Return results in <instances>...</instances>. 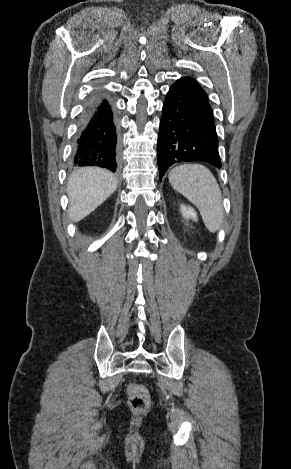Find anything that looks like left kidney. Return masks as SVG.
Instances as JSON below:
<instances>
[{
    "instance_id": "1",
    "label": "left kidney",
    "mask_w": 291,
    "mask_h": 469,
    "mask_svg": "<svg viewBox=\"0 0 291 469\" xmlns=\"http://www.w3.org/2000/svg\"><path fill=\"white\" fill-rule=\"evenodd\" d=\"M181 213H182V216L185 218V219H192L194 221H197V213L195 212V210L193 208H191L190 206H184V205H181Z\"/></svg>"
}]
</instances>
